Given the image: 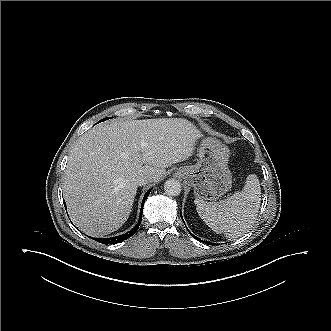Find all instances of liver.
I'll list each match as a JSON object with an SVG mask.
<instances>
[{
	"instance_id": "liver-1",
	"label": "liver",
	"mask_w": 331,
	"mask_h": 331,
	"mask_svg": "<svg viewBox=\"0 0 331 331\" xmlns=\"http://www.w3.org/2000/svg\"><path fill=\"white\" fill-rule=\"evenodd\" d=\"M201 137L188 120L147 119L102 123L81 136L64 173L63 195L72 222L99 237L129 218L136 179L160 180L166 167L187 160Z\"/></svg>"
}]
</instances>
